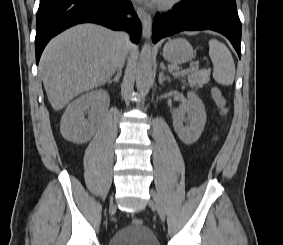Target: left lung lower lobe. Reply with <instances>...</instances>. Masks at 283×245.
Masks as SVG:
<instances>
[{
    "label": "left lung lower lobe",
    "instance_id": "obj_1",
    "mask_svg": "<svg viewBox=\"0 0 283 245\" xmlns=\"http://www.w3.org/2000/svg\"><path fill=\"white\" fill-rule=\"evenodd\" d=\"M210 29L226 36L241 58V22L236 6L220 2L192 3L182 0L171 11L156 15L152 40L181 32Z\"/></svg>",
    "mask_w": 283,
    "mask_h": 245
}]
</instances>
